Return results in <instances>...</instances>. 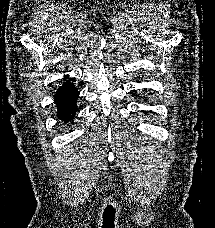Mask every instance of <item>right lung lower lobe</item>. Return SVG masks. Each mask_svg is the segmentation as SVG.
<instances>
[{
	"mask_svg": "<svg viewBox=\"0 0 215 228\" xmlns=\"http://www.w3.org/2000/svg\"><path fill=\"white\" fill-rule=\"evenodd\" d=\"M66 79L67 77H64L65 83L57 90L54 96L58 110L57 117L65 123L73 120V114L77 111L76 100L79 96L75 86Z\"/></svg>",
	"mask_w": 215,
	"mask_h": 228,
	"instance_id": "98d812e1",
	"label": "right lung lower lobe"
}]
</instances>
